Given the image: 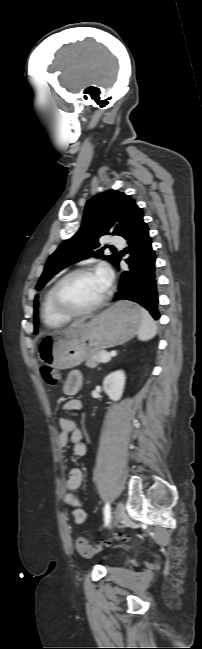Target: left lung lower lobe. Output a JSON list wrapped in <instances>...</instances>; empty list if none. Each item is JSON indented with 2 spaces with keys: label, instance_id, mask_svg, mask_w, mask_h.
Listing matches in <instances>:
<instances>
[{
  "label": "left lung lower lobe",
  "instance_id": "1",
  "mask_svg": "<svg viewBox=\"0 0 202 649\" xmlns=\"http://www.w3.org/2000/svg\"><path fill=\"white\" fill-rule=\"evenodd\" d=\"M122 237L126 239V250L130 253L126 259L129 268L121 271L119 290L114 301L126 299L137 302L158 319L156 255L143 217H137ZM120 259L121 256H118L114 263L116 267H119Z\"/></svg>",
  "mask_w": 202,
  "mask_h": 649
}]
</instances>
